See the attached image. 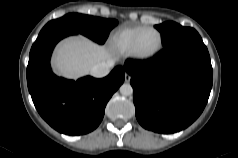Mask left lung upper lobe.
I'll return each mask as SVG.
<instances>
[{"label":"left lung upper lobe","mask_w":238,"mask_h":158,"mask_svg":"<svg viewBox=\"0 0 238 158\" xmlns=\"http://www.w3.org/2000/svg\"><path fill=\"white\" fill-rule=\"evenodd\" d=\"M155 28L162 34V43L164 47L178 39L197 33L193 28L182 27L171 21L156 25Z\"/></svg>","instance_id":"obj_1"}]
</instances>
